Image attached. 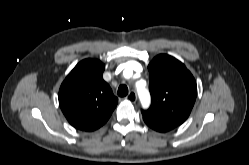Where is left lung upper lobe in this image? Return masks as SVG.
<instances>
[{
    "label": "left lung upper lobe",
    "mask_w": 249,
    "mask_h": 165,
    "mask_svg": "<svg viewBox=\"0 0 249 165\" xmlns=\"http://www.w3.org/2000/svg\"><path fill=\"white\" fill-rule=\"evenodd\" d=\"M151 106L142 110L143 118L172 127L189 116L197 96V85L185 65L176 58L160 54L148 65Z\"/></svg>",
    "instance_id": "5c2ea615"
}]
</instances>
